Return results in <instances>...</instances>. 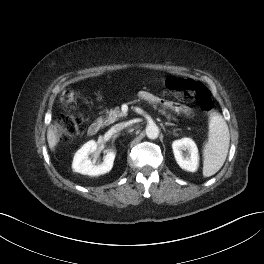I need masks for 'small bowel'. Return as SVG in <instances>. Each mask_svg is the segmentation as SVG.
Instances as JSON below:
<instances>
[{"label": "small bowel", "mask_w": 264, "mask_h": 264, "mask_svg": "<svg viewBox=\"0 0 264 264\" xmlns=\"http://www.w3.org/2000/svg\"><path fill=\"white\" fill-rule=\"evenodd\" d=\"M139 95L151 102V103H155V104H159L161 106H163L164 108L166 109H169V110H172V111H175V112H181V113H185V114H190L191 113V109L186 106V105H183V104H179V103H175V102H172V101H167V100H164V99H161L157 96H155L154 94L148 92V91H140Z\"/></svg>", "instance_id": "small-bowel-1"}]
</instances>
